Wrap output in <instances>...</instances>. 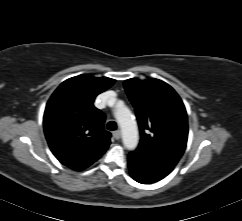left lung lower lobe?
Returning <instances> with one entry per match:
<instances>
[{
  "mask_svg": "<svg viewBox=\"0 0 242 221\" xmlns=\"http://www.w3.org/2000/svg\"><path fill=\"white\" fill-rule=\"evenodd\" d=\"M175 165L146 152L133 151L128 155V168L134 180L139 183H154L167 176Z\"/></svg>",
  "mask_w": 242,
  "mask_h": 221,
  "instance_id": "left-lung-lower-lobe-1",
  "label": "left lung lower lobe"
}]
</instances>
